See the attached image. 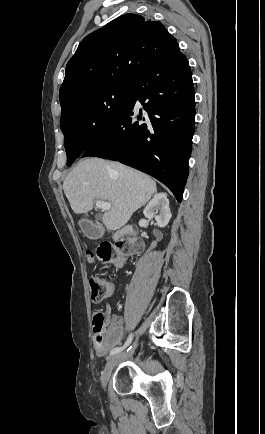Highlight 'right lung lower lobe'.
Here are the masks:
<instances>
[{
  "label": "right lung lower lobe",
  "mask_w": 265,
  "mask_h": 434,
  "mask_svg": "<svg viewBox=\"0 0 265 434\" xmlns=\"http://www.w3.org/2000/svg\"><path fill=\"white\" fill-rule=\"evenodd\" d=\"M139 101L142 107L138 110ZM195 94L178 43L145 69L118 122L81 157L119 161L164 183L181 202L195 124Z\"/></svg>",
  "instance_id": "obj_1"
}]
</instances>
